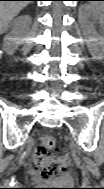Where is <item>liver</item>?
<instances>
[{
	"label": "liver",
	"instance_id": "1",
	"mask_svg": "<svg viewBox=\"0 0 104 189\" xmlns=\"http://www.w3.org/2000/svg\"><path fill=\"white\" fill-rule=\"evenodd\" d=\"M29 1H1L0 2V29L3 33L7 30L10 21L28 5Z\"/></svg>",
	"mask_w": 104,
	"mask_h": 189
}]
</instances>
